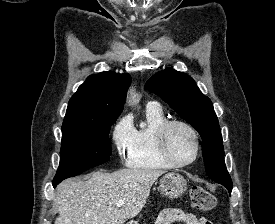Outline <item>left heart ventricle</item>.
Here are the masks:
<instances>
[{
    "instance_id": "obj_1",
    "label": "left heart ventricle",
    "mask_w": 275,
    "mask_h": 224,
    "mask_svg": "<svg viewBox=\"0 0 275 224\" xmlns=\"http://www.w3.org/2000/svg\"><path fill=\"white\" fill-rule=\"evenodd\" d=\"M167 146L170 154L179 162L190 160L195 151L192 135L181 126H174L169 130Z\"/></svg>"
}]
</instances>
